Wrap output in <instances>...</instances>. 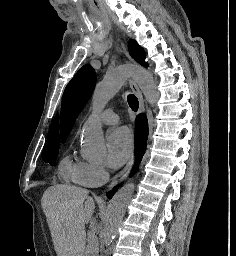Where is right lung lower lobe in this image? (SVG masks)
<instances>
[{"label": "right lung lower lobe", "instance_id": "98d812e1", "mask_svg": "<svg viewBox=\"0 0 236 256\" xmlns=\"http://www.w3.org/2000/svg\"><path fill=\"white\" fill-rule=\"evenodd\" d=\"M148 137V122L144 114H140L136 118L135 122V154L136 162L133 166L131 174H134L137 170L138 164L141 161L146 149ZM116 192V187L107 193V197L111 198Z\"/></svg>", "mask_w": 236, "mask_h": 256}]
</instances>
